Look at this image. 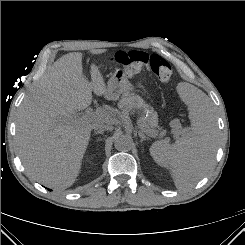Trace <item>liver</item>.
<instances>
[{
	"label": "liver",
	"mask_w": 245,
	"mask_h": 245,
	"mask_svg": "<svg viewBox=\"0 0 245 245\" xmlns=\"http://www.w3.org/2000/svg\"><path fill=\"white\" fill-rule=\"evenodd\" d=\"M92 92L107 95L104 78L92 64L89 82L83 75L82 53L73 52L48 67L20 106L18 153L27 173L46 187L66 189L79 174L93 125L103 124L102 120L74 118L91 104Z\"/></svg>",
	"instance_id": "liver-1"
}]
</instances>
